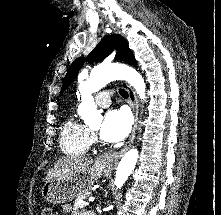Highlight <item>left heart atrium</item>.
Segmentation results:
<instances>
[{
    "instance_id": "obj_1",
    "label": "left heart atrium",
    "mask_w": 221,
    "mask_h": 215,
    "mask_svg": "<svg viewBox=\"0 0 221 215\" xmlns=\"http://www.w3.org/2000/svg\"><path fill=\"white\" fill-rule=\"evenodd\" d=\"M131 120L124 110H111L105 115L100 128V136L106 142H118L129 133Z\"/></svg>"
}]
</instances>
